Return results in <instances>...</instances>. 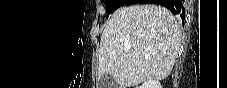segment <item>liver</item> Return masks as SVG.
I'll use <instances>...</instances> for the list:
<instances>
[{"mask_svg": "<svg viewBox=\"0 0 227 88\" xmlns=\"http://www.w3.org/2000/svg\"><path fill=\"white\" fill-rule=\"evenodd\" d=\"M180 46V23L165 7H121L101 35L99 77L111 75L120 88L163 80L172 71Z\"/></svg>", "mask_w": 227, "mask_h": 88, "instance_id": "1", "label": "liver"}]
</instances>
